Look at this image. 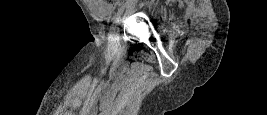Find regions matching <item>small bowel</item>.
Wrapping results in <instances>:
<instances>
[{
	"instance_id": "1",
	"label": "small bowel",
	"mask_w": 267,
	"mask_h": 115,
	"mask_svg": "<svg viewBox=\"0 0 267 115\" xmlns=\"http://www.w3.org/2000/svg\"><path fill=\"white\" fill-rule=\"evenodd\" d=\"M85 2L91 11L98 17L105 18L110 15V7L103 4L99 0H86Z\"/></svg>"
}]
</instances>
